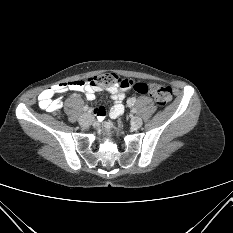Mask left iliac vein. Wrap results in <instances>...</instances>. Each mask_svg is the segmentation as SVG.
Returning a JSON list of instances; mask_svg holds the SVG:
<instances>
[{"instance_id": "1", "label": "left iliac vein", "mask_w": 233, "mask_h": 233, "mask_svg": "<svg viewBox=\"0 0 233 233\" xmlns=\"http://www.w3.org/2000/svg\"><path fill=\"white\" fill-rule=\"evenodd\" d=\"M143 124V121L140 117H133L131 120V125L135 128H140Z\"/></svg>"}]
</instances>
